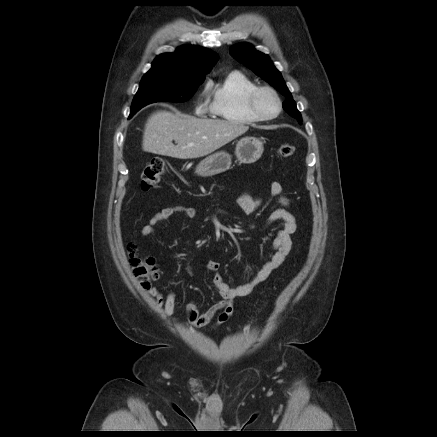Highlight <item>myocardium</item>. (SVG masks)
<instances>
[{
  "instance_id": "obj_1",
  "label": "myocardium",
  "mask_w": 437,
  "mask_h": 437,
  "mask_svg": "<svg viewBox=\"0 0 437 437\" xmlns=\"http://www.w3.org/2000/svg\"><path fill=\"white\" fill-rule=\"evenodd\" d=\"M264 92L270 93L275 98V100L277 102V106H278L277 111L275 114H273L271 116H267V115L262 114L257 106L258 97ZM247 107H248L250 114L254 118H256L257 120L270 121V120L277 118L280 115V113L282 112L283 105H282V100H281L279 94L277 93V91L274 88L269 87V86H257L255 89H253L249 93V95L247 97Z\"/></svg>"
}]
</instances>
